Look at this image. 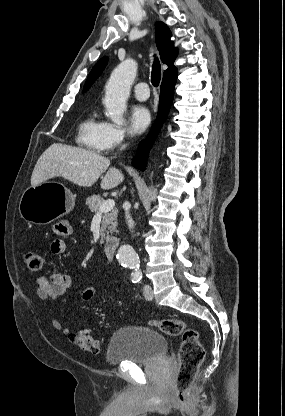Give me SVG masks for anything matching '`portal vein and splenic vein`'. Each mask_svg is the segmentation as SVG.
<instances>
[{
    "label": "portal vein and splenic vein",
    "mask_w": 285,
    "mask_h": 416,
    "mask_svg": "<svg viewBox=\"0 0 285 416\" xmlns=\"http://www.w3.org/2000/svg\"><path fill=\"white\" fill-rule=\"evenodd\" d=\"M114 206V200H106V202H103L102 206H100L97 216H101V214H106V212H111Z\"/></svg>",
    "instance_id": "portal-vein-and-splenic-vein-1"
}]
</instances>
